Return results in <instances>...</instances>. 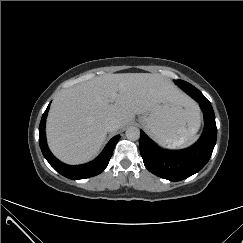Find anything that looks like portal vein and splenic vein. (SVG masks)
Instances as JSON below:
<instances>
[{
  "label": "portal vein and splenic vein",
  "mask_w": 243,
  "mask_h": 243,
  "mask_svg": "<svg viewBox=\"0 0 243 243\" xmlns=\"http://www.w3.org/2000/svg\"><path fill=\"white\" fill-rule=\"evenodd\" d=\"M114 99H115V94H113V95L111 96L110 101L113 102Z\"/></svg>",
  "instance_id": "1"
}]
</instances>
